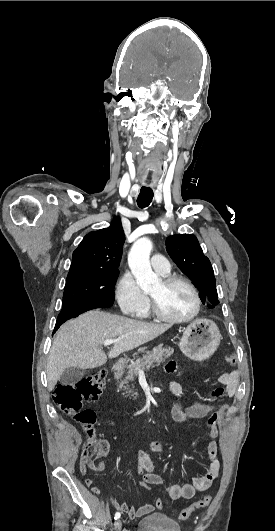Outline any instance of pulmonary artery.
Instances as JSON below:
<instances>
[{"mask_svg":"<svg viewBox=\"0 0 275 531\" xmlns=\"http://www.w3.org/2000/svg\"><path fill=\"white\" fill-rule=\"evenodd\" d=\"M151 263L154 265V272L157 275H166L169 273L170 268L168 267V264L165 262V256L163 254H153L151 256Z\"/></svg>","mask_w":275,"mask_h":531,"instance_id":"1","label":"pulmonary artery"}]
</instances>
